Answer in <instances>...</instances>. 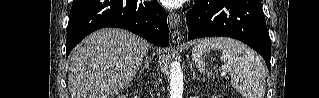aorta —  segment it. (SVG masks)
Segmentation results:
<instances>
[{
    "mask_svg": "<svg viewBox=\"0 0 319 98\" xmlns=\"http://www.w3.org/2000/svg\"><path fill=\"white\" fill-rule=\"evenodd\" d=\"M170 98H182L183 97V72L180 67L172 63L170 74Z\"/></svg>",
    "mask_w": 319,
    "mask_h": 98,
    "instance_id": "1",
    "label": "aorta"
}]
</instances>
